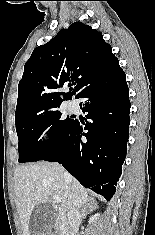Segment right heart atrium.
<instances>
[{"label": "right heart atrium", "mask_w": 155, "mask_h": 235, "mask_svg": "<svg viewBox=\"0 0 155 235\" xmlns=\"http://www.w3.org/2000/svg\"><path fill=\"white\" fill-rule=\"evenodd\" d=\"M52 137V129L50 127L44 128L40 133V139L47 141Z\"/></svg>", "instance_id": "1"}]
</instances>
